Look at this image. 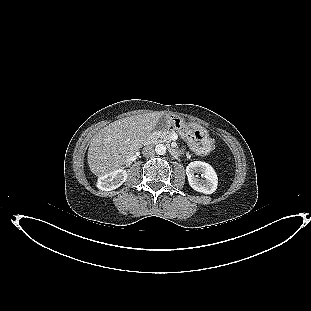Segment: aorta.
Segmentation results:
<instances>
[{
    "label": "aorta",
    "mask_w": 311,
    "mask_h": 311,
    "mask_svg": "<svg viewBox=\"0 0 311 311\" xmlns=\"http://www.w3.org/2000/svg\"><path fill=\"white\" fill-rule=\"evenodd\" d=\"M155 152L157 155H164L166 153V146L164 144L156 145Z\"/></svg>",
    "instance_id": "762f6f07"
}]
</instances>
